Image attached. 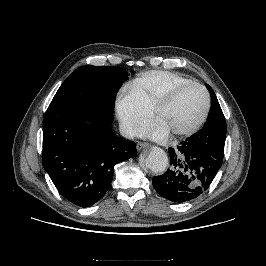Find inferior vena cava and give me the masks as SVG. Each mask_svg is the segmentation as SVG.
Listing matches in <instances>:
<instances>
[{
	"instance_id": "obj_1",
	"label": "inferior vena cava",
	"mask_w": 266,
	"mask_h": 266,
	"mask_svg": "<svg viewBox=\"0 0 266 266\" xmlns=\"http://www.w3.org/2000/svg\"><path fill=\"white\" fill-rule=\"evenodd\" d=\"M120 134L128 139H132L137 134V128L131 124L121 123L119 125Z\"/></svg>"
}]
</instances>
